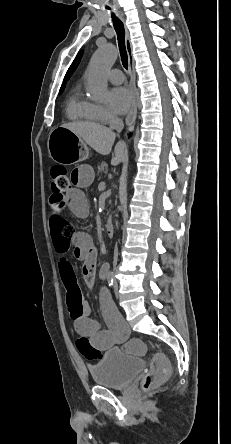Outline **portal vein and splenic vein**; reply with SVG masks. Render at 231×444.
<instances>
[{
	"label": "portal vein and splenic vein",
	"instance_id": "obj_1",
	"mask_svg": "<svg viewBox=\"0 0 231 444\" xmlns=\"http://www.w3.org/2000/svg\"><path fill=\"white\" fill-rule=\"evenodd\" d=\"M105 185H106V184H105V182L103 181V182H100L99 187H100V188H105Z\"/></svg>",
	"mask_w": 231,
	"mask_h": 444
}]
</instances>
